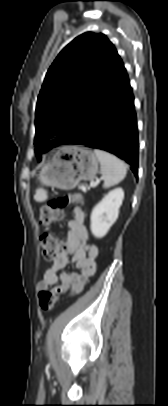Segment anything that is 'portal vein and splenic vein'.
<instances>
[{
	"label": "portal vein and splenic vein",
	"mask_w": 168,
	"mask_h": 406,
	"mask_svg": "<svg viewBox=\"0 0 168 406\" xmlns=\"http://www.w3.org/2000/svg\"><path fill=\"white\" fill-rule=\"evenodd\" d=\"M98 183H99V181H97V182H90V187H96Z\"/></svg>",
	"instance_id": "1"
}]
</instances>
